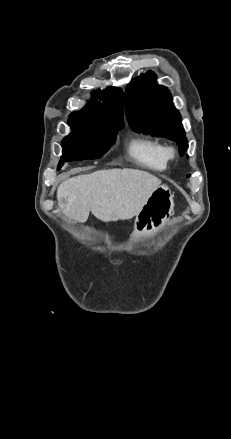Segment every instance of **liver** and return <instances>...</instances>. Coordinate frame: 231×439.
Segmentation results:
<instances>
[{"instance_id":"liver-1","label":"liver","mask_w":231,"mask_h":439,"mask_svg":"<svg viewBox=\"0 0 231 439\" xmlns=\"http://www.w3.org/2000/svg\"><path fill=\"white\" fill-rule=\"evenodd\" d=\"M161 180L138 169L99 170L63 181L57 189L60 210L84 223L90 211L103 222L128 220L141 211Z\"/></svg>"}]
</instances>
